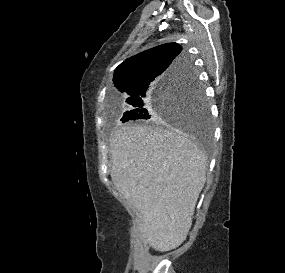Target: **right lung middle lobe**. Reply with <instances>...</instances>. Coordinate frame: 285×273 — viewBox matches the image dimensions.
<instances>
[{"mask_svg":"<svg viewBox=\"0 0 285 273\" xmlns=\"http://www.w3.org/2000/svg\"><path fill=\"white\" fill-rule=\"evenodd\" d=\"M126 102L130 110L124 113L122 122L136 119L175 121L200 130L209 126L204 92L191 67L183 73L166 77L149 92Z\"/></svg>","mask_w":285,"mask_h":273,"instance_id":"dd1d6c3e","label":"right lung middle lobe"}]
</instances>
